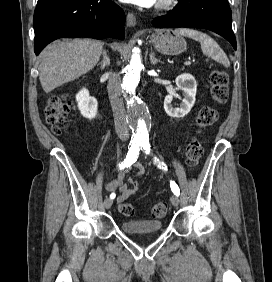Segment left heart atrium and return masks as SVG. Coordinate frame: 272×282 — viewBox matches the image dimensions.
<instances>
[{"label":"left heart atrium","instance_id":"1","mask_svg":"<svg viewBox=\"0 0 272 282\" xmlns=\"http://www.w3.org/2000/svg\"><path fill=\"white\" fill-rule=\"evenodd\" d=\"M122 1L142 7H149L154 5L158 0H122Z\"/></svg>","mask_w":272,"mask_h":282}]
</instances>
